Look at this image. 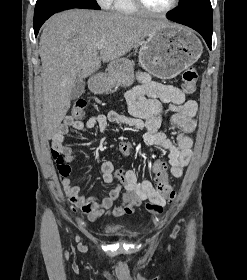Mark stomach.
<instances>
[{
	"label": "stomach",
	"instance_id": "1",
	"mask_svg": "<svg viewBox=\"0 0 247 280\" xmlns=\"http://www.w3.org/2000/svg\"><path fill=\"white\" fill-rule=\"evenodd\" d=\"M203 46L193 31L179 25L160 27L142 42L140 65L152 75L171 79L193 65L201 56ZM134 82V64L120 58L108 66L106 77L90 83L95 93H104L115 85L130 86Z\"/></svg>",
	"mask_w": 247,
	"mask_h": 280
}]
</instances>
